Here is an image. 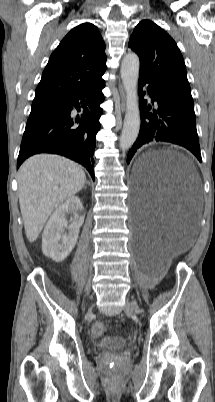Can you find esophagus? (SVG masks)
I'll return each mask as SVG.
<instances>
[{
  "mask_svg": "<svg viewBox=\"0 0 215 402\" xmlns=\"http://www.w3.org/2000/svg\"><path fill=\"white\" fill-rule=\"evenodd\" d=\"M119 89H120V95H121V111L124 112V110H125V93H124L122 85L119 86Z\"/></svg>",
  "mask_w": 215,
  "mask_h": 402,
  "instance_id": "34e87169",
  "label": "esophagus"
}]
</instances>
